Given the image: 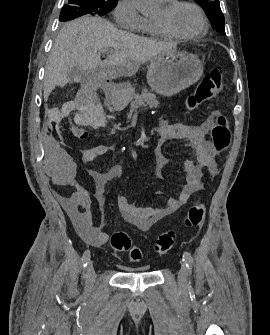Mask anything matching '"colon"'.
Returning a JSON list of instances; mask_svg holds the SVG:
<instances>
[{
    "label": "colon",
    "instance_id": "1",
    "mask_svg": "<svg viewBox=\"0 0 270 335\" xmlns=\"http://www.w3.org/2000/svg\"><path fill=\"white\" fill-rule=\"evenodd\" d=\"M222 76L223 70L221 68H214L206 73L196 90L186 100L184 108L195 110L199 105L213 98L214 95L221 90ZM73 134L79 140H85L88 137L87 130L83 128L75 129ZM211 135L215 151L217 153L226 151L231 142L229 122L226 116L221 115L217 117ZM204 217L205 210L203 203L195 202L190 206L184 217V225L189 228L200 227ZM175 242V232L166 231L158 237L154 245V252L159 255L166 254L172 250ZM110 247L119 253L127 252L130 261L134 263L141 262L143 259L142 250L132 245L129 235L123 230H118L113 233L110 240Z\"/></svg>",
    "mask_w": 270,
    "mask_h": 335
}]
</instances>
